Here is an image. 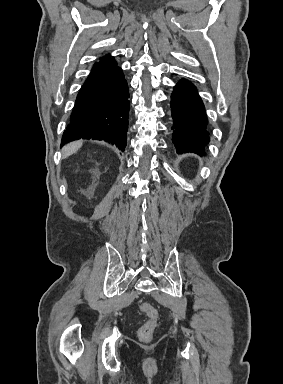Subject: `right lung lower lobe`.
I'll return each instance as SVG.
<instances>
[{
	"instance_id": "98d812e1",
	"label": "right lung lower lobe",
	"mask_w": 283,
	"mask_h": 384,
	"mask_svg": "<svg viewBox=\"0 0 283 384\" xmlns=\"http://www.w3.org/2000/svg\"><path fill=\"white\" fill-rule=\"evenodd\" d=\"M127 81L116 64L92 70L80 89L61 146L78 139L104 140L124 151L130 102Z\"/></svg>"
}]
</instances>
